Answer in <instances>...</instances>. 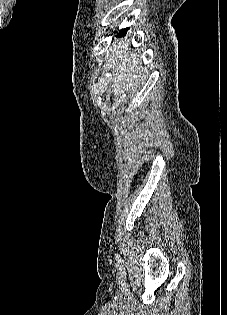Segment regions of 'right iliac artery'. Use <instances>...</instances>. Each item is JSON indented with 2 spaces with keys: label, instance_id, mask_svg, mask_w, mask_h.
<instances>
[{
  "label": "right iliac artery",
  "instance_id": "82829eb1",
  "mask_svg": "<svg viewBox=\"0 0 227 315\" xmlns=\"http://www.w3.org/2000/svg\"><path fill=\"white\" fill-rule=\"evenodd\" d=\"M116 261H117V266L121 269V267L123 266L122 265V260H121V258H119V255L117 254L116 255Z\"/></svg>",
  "mask_w": 227,
  "mask_h": 315
}]
</instances>
